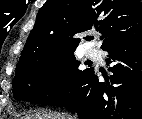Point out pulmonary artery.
Here are the masks:
<instances>
[{
	"label": "pulmonary artery",
	"instance_id": "e3ab8cb5",
	"mask_svg": "<svg viewBox=\"0 0 142 119\" xmlns=\"http://www.w3.org/2000/svg\"><path fill=\"white\" fill-rule=\"evenodd\" d=\"M86 56L88 58H91V59H94V60H100L101 59L100 53L96 48L87 49Z\"/></svg>",
	"mask_w": 142,
	"mask_h": 119
}]
</instances>
